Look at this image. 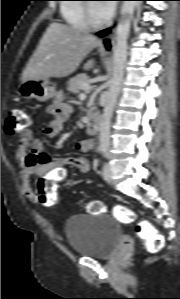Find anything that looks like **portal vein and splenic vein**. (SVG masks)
I'll use <instances>...</instances> for the list:
<instances>
[{"instance_id":"1","label":"portal vein and splenic vein","mask_w":180,"mask_h":299,"mask_svg":"<svg viewBox=\"0 0 180 299\" xmlns=\"http://www.w3.org/2000/svg\"><path fill=\"white\" fill-rule=\"evenodd\" d=\"M92 89H93V87L90 86L89 84H84V85H83V90H84V92L81 93L80 96H85V95L88 94Z\"/></svg>"}]
</instances>
